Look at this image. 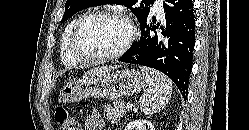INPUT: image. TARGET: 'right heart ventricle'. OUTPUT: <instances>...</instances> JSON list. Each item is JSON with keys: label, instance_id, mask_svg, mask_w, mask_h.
<instances>
[{"label": "right heart ventricle", "instance_id": "obj_1", "mask_svg": "<svg viewBox=\"0 0 249 130\" xmlns=\"http://www.w3.org/2000/svg\"><path fill=\"white\" fill-rule=\"evenodd\" d=\"M77 20H78V18H74L66 25L64 31L62 32L61 38H60V58H61V61L65 65H68V66L76 65L78 62L76 59H74L70 55V53L68 51L69 37H70L71 31H72Z\"/></svg>", "mask_w": 249, "mask_h": 130}]
</instances>
